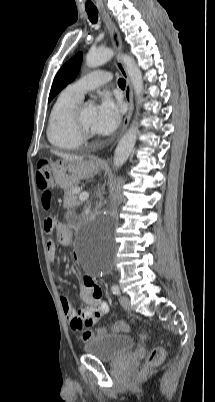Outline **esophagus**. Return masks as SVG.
<instances>
[{"instance_id": "esophagus-1", "label": "esophagus", "mask_w": 215, "mask_h": 402, "mask_svg": "<svg viewBox=\"0 0 215 402\" xmlns=\"http://www.w3.org/2000/svg\"><path fill=\"white\" fill-rule=\"evenodd\" d=\"M102 17L107 23L110 33H111V39H112V44L117 53H119L122 50V41H121V36L117 28L112 24L111 19L109 15L102 10L101 11ZM115 64L120 71L121 75L123 78L126 80V88H125V100L128 105V112L124 118L123 121V127H122V132L123 133L130 121L132 112H133V90H132V85L128 76V73L126 71V68L124 64L121 62V60L118 58V56L115 57Z\"/></svg>"}]
</instances>
